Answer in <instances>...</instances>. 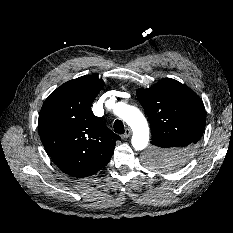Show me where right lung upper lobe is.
Segmentation results:
<instances>
[{
    "label": "right lung upper lobe",
    "instance_id": "obj_1",
    "mask_svg": "<svg viewBox=\"0 0 233 233\" xmlns=\"http://www.w3.org/2000/svg\"><path fill=\"white\" fill-rule=\"evenodd\" d=\"M104 82L92 75L70 80L44 102L38 119L42 144L58 168L77 178L105 167L120 137L92 110Z\"/></svg>",
    "mask_w": 233,
    "mask_h": 233
}]
</instances>
